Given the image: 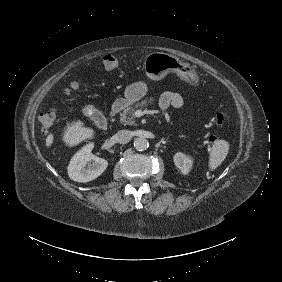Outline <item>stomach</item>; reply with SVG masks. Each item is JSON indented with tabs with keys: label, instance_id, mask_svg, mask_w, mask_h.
Returning <instances> with one entry per match:
<instances>
[{
	"label": "stomach",
	"instance_id": "1",
	"mask_svg": "<svg viewBox=\"0 0 282 282\" xmlns=\"http://www.w3.org/2000/svg\"><path fill=\"white\" fill-rule=\"evenodd\" d=\"M143 69L147 77L154 81L163 79L168 73H176L177 76L192 85H197L199 78L193 67L179 60L178 57L163 53L152 52L145 57ZM148 91L145 82L139 81L127 86L124 92L129 104H133L143 98Z\"/></svg>",
	"mask_w": 282,
	"mask_h": 282
}]
</instances>
